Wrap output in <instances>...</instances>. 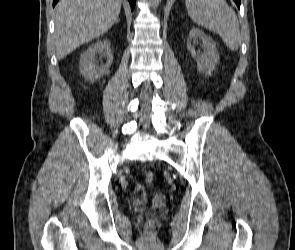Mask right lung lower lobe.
Here are the masks:
<instances>
[{"label":"right lung lower lobe","instance_id":"right-lung-lower-lobe-1","mask_svg":"<svg viewBox=\"0 0 295 250\" xmlns=\"http://www.w3.org/2000/svg\"><path fill=\"white\" fill-rule=\"evenodd\" d=\"M58 2V0H53V6ZM130 5H131V9L133 10L135 7V2L136 0H129Z\"/></svg>","mask_w":295,"mask_h":250}]
</instances>
